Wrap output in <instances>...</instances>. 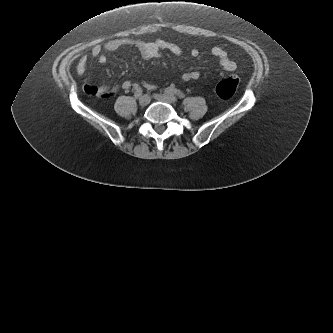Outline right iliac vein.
<instances>
[{"label":"right iliac vein","instance_id":"1","mask_svg":"<svg viewBox=\"0 0 333 333\" xmlns=\"http://www.w3.org/2000/svg\"><path fill=\"white\" fill-rule=\"evenodd\" d=\"M149 103H150V97L147 94H145V95H143V96L140 97L139 104L141 106H146Z\"/></svg>","mask_w":333,"mask_h":333}]
</instances>
